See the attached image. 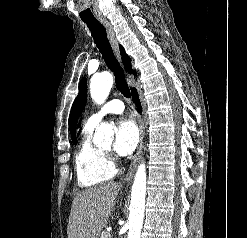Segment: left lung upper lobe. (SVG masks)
Segmentation results:
<instances>
[{
    "mask_svg": "<svg viewBox=\"0 0 247 238\" xmlns=\"http://www.w3.org/2000/svg\"><path fill=\"white\" fill-rule=\"evenodd\" d=\"M86 89H87V80L86 78H82L79 84V93L76 97L69 116V129L72 136L73 143H76L75 130H76V122L81 115L85 104H86Z\"/></svg>",
    "mask_w": 247,
    "mask_h": 238,
    "instance_id": "left-lung-upper-lobe-1",
    "label": "left lung upper lobe"
}]
</instances>
